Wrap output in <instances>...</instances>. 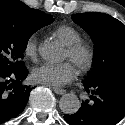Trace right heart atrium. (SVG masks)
I'll return each instance as SVG.
<instances>
[{
	"label": "right heart atrium",
	"mask_w": 125,
	"mask_h": 125,
	"mask_svg": "<svg viewBox=\"0 0 125 125\" xmlns=\"http://www.w3.org/2000/svg\"><path fill=\"white\" fill-rule=\"evenodd\" d=\"M38 43H39V39H38V36L35 34L27 38L23 49L24 55L27 58L34 60L37 57Z\"/></svg>",
	"instance_id": "d8ad5b80"
}]
</instances>
